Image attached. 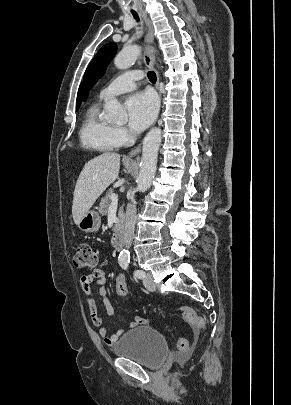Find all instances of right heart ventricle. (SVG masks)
<instances>
[{"instance_id":"right-heart-ventricle-1","label":"right heart ventricle","mask_w":291,"mask_h":405,"mask_svg":"<svg viewBox=\"0 0 291 405\" xmlns=\"http://www.w3.org/2000/svg\"><path fill=\"white\" fill-rule=\"evenodd\" d=\"M115 127L105 121L100 114V104L93 103L86 111L80 129V139L84 147L99 152L112 151L119 146Z\"/></svg>"}]
</instances>
